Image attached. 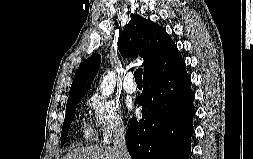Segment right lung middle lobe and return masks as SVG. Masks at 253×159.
Returning <instances> with one entry per match:
<instances>
[{
    "mask_svg": "<svg viewBox=\"0 0 253 159\" xmlns=\"http://www.w3.org/2000/svg\"><path fill=\"white\" fill-rule=\"evenodd\" d=\"M80 98H75L70 101H67L66 105V116L64 119L63 127H62V132H61V143L64 144L67 139V132L69 129L70 124L72 123V120L75 116V111H76V105L78 101L81 99Z\"/></svg>",
    "mask_w": 253,
    "mask_h": 159,
    "instance_id": "1",
    "label": "right lung middle lobe"
}]
</instances>
